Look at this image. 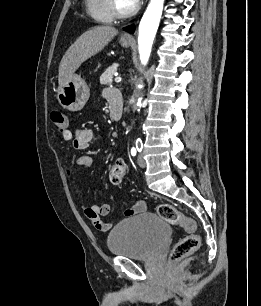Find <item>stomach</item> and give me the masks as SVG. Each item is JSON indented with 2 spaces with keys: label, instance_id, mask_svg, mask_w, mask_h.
<instances>
[{
  "label": "stomach",
  "instance_id": "0dacf381",
  "mask_svg": "<svg viewBox=\"0 0 261 306\" xmlns=\"http://www.w3.org/2000/svg\"><path fill=\"white\" fill-rule=\"evenodd\" d=\"M120 44L127 48L131 43L120 40ZM89 96L90 89L85 80L78 75H73L63 86H59L57 99L64 109L75 112L84 107Z\"/></svg>",
  "mask_w": 261,
  "mask_h": 306
}]
</instances>
